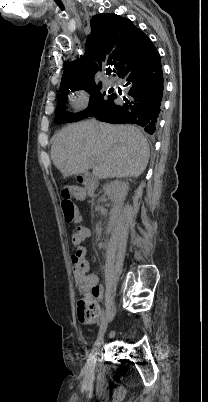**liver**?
Listing matches in <instances>:
<instances>
[{
    "instance_id": "obj_1",
    "label": "liver",
    "mask_w": 208,
    "mask_h": 402,
    "mask_svg": "<svg viewBox=\"0 0 208 402\" xmlns=\"http://www.w3.org/2000/svg\"><path fill=\"white\" fill-rule=\"evenodd\" d=\"M149 156V144L135 126H92L91 120L63 128L51 146L52 162L63 178L85 174L91 164L99 180L138 178Z\"/></svg>"
}]
</instances>
